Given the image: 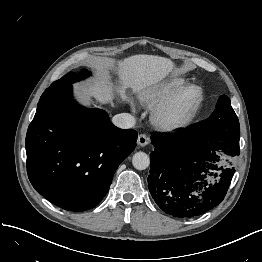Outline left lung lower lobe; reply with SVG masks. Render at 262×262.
<instances>
[{"label": "left lung lower lobe", "mask_w": 262, "mask_h": 262, "mask_svg": "<svg viewBox=\"0 0 262 262\" xmlns=\"http://www.w3.org/2000/svg\"><path fill=\"white\" fill-rule=\"evenodd\" d=\"M240 131L214 134L184 129L176 134L154 133L148 188L167 214L191 218L220 204L239 155Z\"/></svg>", "instance_id": "1"}]
</instances>
